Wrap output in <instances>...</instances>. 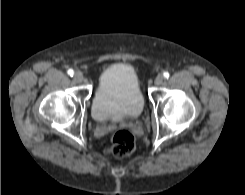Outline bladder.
Instances as JSON below:
<instances>
[{
  "mask_svg": "<svg viewBox=\"0 0 245 195\" xmlns=\"http://www.w3.org/2000/svg\"><path fill=\"white\" fill-rule=\"evenodd\" d=\"M143 109L144 97L135 69L126 63L107 67L92 100V117L98 122H119L138 117Z\"/></svg>",
  "mask_w": 245,
  "mask_h": 195,
  "instance_id": "obj_1",
  "label": "bladder"
}]
</instances>
